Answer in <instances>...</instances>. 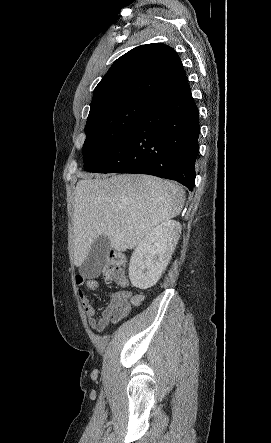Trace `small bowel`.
Here are the masks:
<instances>
[{"mask_svg": "<svg viewBox=\"0 0 271 443\" xmlns=\"http://www.w3.org/2000/svg\"><path fill=\"white\" fill-rule=\"evenodd\" d=\"M75 281L79 287L78 296L87 316L88 324L98 332L104 331L110 323L120 322L129 315L134 307L141 305L142 296H133L129 290H120L110 295L107 307L99 317H96L94 306L81 288L97 291L100 289V282L95 278H86L81 275H77Z\"/></svg>", "mask_w": 271, "mask_h": 443, "instance_id": "small-bowel-1", "label": "small bowel"}]
</instances>
